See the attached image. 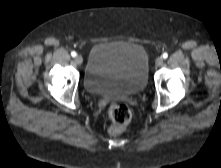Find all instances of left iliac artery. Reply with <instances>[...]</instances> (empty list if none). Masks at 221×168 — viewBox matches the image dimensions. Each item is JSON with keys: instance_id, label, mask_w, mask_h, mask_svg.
I'll use <instances>...</instances> for the list:
<instances>
[{"instance_id": "44dca946", "label": "left iliac artery", "mask_w": 221, "mask_h": 168, "mask_svg": "<svg viewBox=\"0 0 221 168\" xmlns=\"http://www.w3.org/2000/svg\"><path fill=\"white\" fill-rule=\"evenodd\" d=\"M162 56H163L164 59H166L168 57V54L165 52V53H163Z\"/></svg>"}]
</instances>
